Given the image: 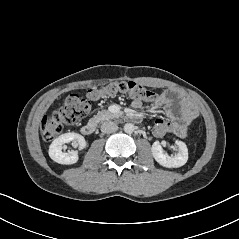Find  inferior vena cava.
I'll return each instance as SVG.
<instances>
[{"label": "inferior vena cava", "mask_w": 239, "mask_h": 239, "mask_svg": "<svg viewBox=\"0 0 239 239\" xmlns=\"http://www.w3.org/2000/svg\"><path fill=\"white\" fill-rule=\"evenodd\" d=\"M118 130V126L116 123L112 121H106L101 125V131L103 133H113Z\"/></svg>", "instance_id": "602c4592"}]
</instances>
